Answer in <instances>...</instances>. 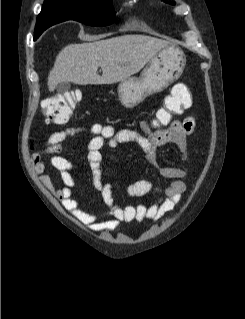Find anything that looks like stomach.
Listing matches in <instances>:
<instances>
[{
	"label": "stomach",
	"instance_id": "stomach-1",
	"mask_svg": "<svg viewBox=\"0 0 245 319\" xmlns=\"http://www.w3.org/2000/svg\"><path fill=\"white\" fill-rule=\"evenodd\" d=\"M186 65L184 52L175 45L159 51L139 77H129L118 85V96L126 108L139 105L148 96L159 93L177 80Z\"/></svg>",
	"mask_w": 245,
	"mask_h": 319
}]
</instances>
